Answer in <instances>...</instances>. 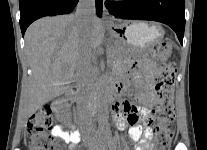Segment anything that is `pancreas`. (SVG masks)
I'll return each mask as SVG.
<instances>
[{
    "label": "pancreas",
    "instance_id": "cf45deb5",
    "mask_svg": "<svg viewBox=\"0 0 207 150\" xmlns=\"http://www.w3.org/2000/svg\"><path fill=\"white\" fill-rule=\"evenodd\" d=\"M120 50V48H112L111 52L108 53V59L111 63H116L119 59Z\"/></svg>",
    "mask_w": 207,
    "mask_h": 150
}]
</instances>
